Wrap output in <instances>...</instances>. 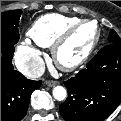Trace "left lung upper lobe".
<instances>
[{"instance_id": "1", "label": "left lung upper lobe", "mask_w": 121, "mask_h": 121, "mask_svg": "<svg viewBox=\"0 0 121 121\" xmlns=\"http://www.w3.org/2000/svg\"><path fill=\"white\" fill-rule=\"evenodd\" d=\"M109 44H121V39L114 30L110 32Z\"/></svg>"}]
</instances>
